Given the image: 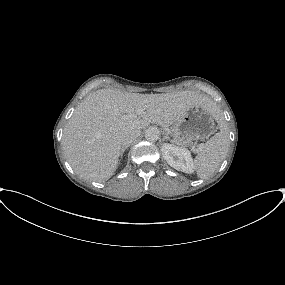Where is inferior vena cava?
I'll list each match as a JSON object with an SVG mask.
<instances>
[{"label":"inferior vena cava","mask_w":285,"mask_h":285,"mask_svg":"<svg viewBox=\"0 0 285 285\" xmlns=\"http://www.w3.org/2000/svg\"><path fill=\"white\" fill-rule=\"evenodd\" d=\"M139 133H125L121 136L120 141L123 146L130 145L136 138H138Z\"/></svg>","instance_id":"602c4592"}]
</instances>
